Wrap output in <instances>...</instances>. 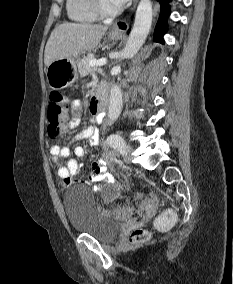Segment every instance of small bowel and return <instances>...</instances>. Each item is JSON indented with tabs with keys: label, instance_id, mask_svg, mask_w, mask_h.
Listing matches in <instances>:
<instances>
[{
	"label": "small bowel",
	"instance_id": "1",
	"mask_svg": "<svg viewBox=\"0 0 233 284\" xmlns=\"http://www.w3.org/2000/svg\"><path fill=\"white\" fill-rule=\"evenodd\" d=\"M82 111V104L79 100H74L70 104V113L72 115L71 120L66 124L67 129H72L79 124V115ZM90 112L92 114V122L95 124H100L103 122L105 117V112L98 107L97 102L92 101L90 104ZM98 137V129L95 127H88L79 134H77L72 143L83 140L90 139L95 141ZM74 153L77 157L84 156V148L81 146H76ZM50 154L54 165L58 169V177L63 186H69L74 183V177L80 171V165L78 161L71 158V150L69 147H61L58 145H52L50 147ZM110 154L105 153L97 162L92 166V170L89 173L87 183H97V182H111L110 174L107 171V163L110 162ZM67 159V162H65Z\"/></svg>",
	"mask_w": 233,
	"mask_h": 284
}]
</instances>
